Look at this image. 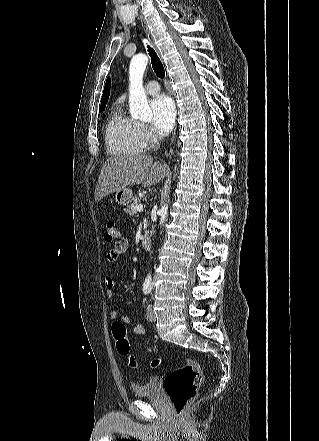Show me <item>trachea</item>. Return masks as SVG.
<instances>
[{
  "instance_id": "trachea-1",
  "label": "trachea",
  "mask_w": 319,
  "mask_h": 441,
  "mask_svg": "<svg viewBox=\"0 0 319 441\" xmlns=\"http://www.w3.org/2000/svg\"><path fill=\"white\" fill-rule=\"evenodd\" d=\"M148 47V52L151 58V64H152V68L155 72V74L159 77V78H164L165 76V70L163 67L162 62L160 61V59L158 58L157 54L155 53L154 49L147 46Z\"/></svg>"
}]
</instances>
